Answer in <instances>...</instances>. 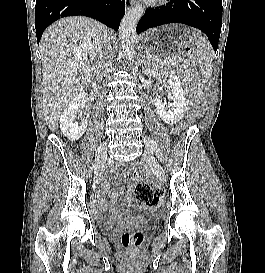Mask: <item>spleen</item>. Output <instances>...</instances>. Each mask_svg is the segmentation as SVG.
Wrapping results in <instances>:
<instances>
[{
	"label": "spleen",
	"mask_w": 265,
	"mask_h": 273,
	"mask_svg": "<svg viewBox=\"0 0 265 273\" xmlns=\"http://www.w3.org/2000/svg\"><path fill=\"white\" fill-rule=\"evenodd\" d=\"M197 45V59L201 67L202 76L208 78L212 74V49L209 43L200 35L192 33Z\"/></svg>",
	"instance_id": "obj_1"
}]
</instances>
